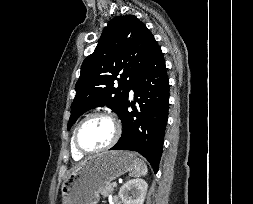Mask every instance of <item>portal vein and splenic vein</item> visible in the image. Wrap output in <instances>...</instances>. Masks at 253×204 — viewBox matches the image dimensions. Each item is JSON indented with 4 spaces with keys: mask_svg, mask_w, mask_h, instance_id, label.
Returning <instances> with one entry per match:
<instances>
[{
    "mask_svg": "<svg viewBox=\"0 0 253 204\" xmlns=\"http://www.w3.org/2000/svg\"><path fill=\"white\" fill-rule=\"evenodd\" d=\"M112 186H113V187H116V186H117V183H116V182H113V183H112Z\"/></svg>",
    "mask_w": 253,
    "mask_h": 204,
    "instance_id": "18ae733b",
    "label": "portal vein and splenic vein"
}]
</instances>
